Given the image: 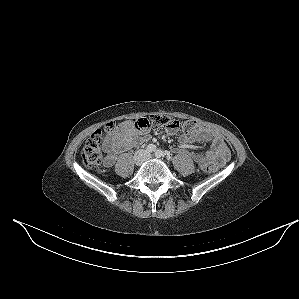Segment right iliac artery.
<instances>
[{
    "label": "right iliac artery",
    "mask_w": 299,
    "mask_h": 299,
    "mask_svg": "<svg viewBox=\"0 0 299 299\" xmlns=\"http://www.w3.org/2000/svg\"><path fill=\"white\" fill-rule=\"evenodd\" d=\"M147 151L148 152H154V151H156V146L154 144H149L147 146Z\"/></svg>",
    "instance_id": "obj_1"
}]
</instances>
